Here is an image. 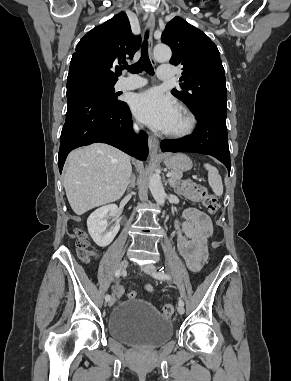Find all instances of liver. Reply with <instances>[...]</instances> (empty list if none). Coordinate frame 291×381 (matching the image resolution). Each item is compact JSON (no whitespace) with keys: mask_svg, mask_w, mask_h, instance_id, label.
<instances>
[{"mask_svg":"<svg viewBox=\"0 0 291 381\" xmlns=\"http://www.w3.org/2000/svg\"><path fill=\"white\" fill-rule=\"evenodd\" d=\"M64 187L77 215L119 200L130 182V157L119 149L94 143L67 157Z\"/></svg>","mask_w":291,"mask_h":381,"instance_id":"1","label":"liver"}]
</instances>
